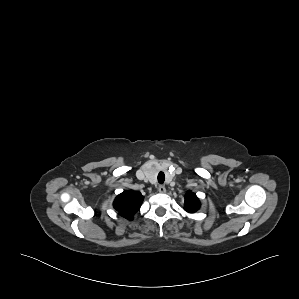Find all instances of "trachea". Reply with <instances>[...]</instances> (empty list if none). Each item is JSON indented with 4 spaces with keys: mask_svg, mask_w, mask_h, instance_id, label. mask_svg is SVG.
<instances>
[{
    "mask_svg": "<svg viewBox=\"0 0 299 299\" xmlns=\"http://www.w3.org/2000/svg\"><path fill=\"white\" fill-rule=\"evenodd\" d=\"M164 180H165V174L161 171V172H159V174H158V182H159L160 184H162V183L164 182Z\"/></svg>",
    "mask_w": 299,
    "mask_h": 299,
    "instance_id": "trachea-1",
    "label": "trachea"
}]
</instances>
